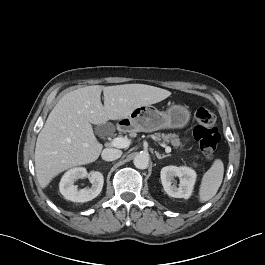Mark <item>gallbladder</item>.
<instances>
[{"mask_svg": "<svg viewBox=\"0 0 265 265\" xmlns=\"http://www.w3.org/2000/svg\"><path fill=\"white\" fill-rule=\"evenodd\" d=\"M110 127L108 124H102V125H99L97 128H96V133L98 135H102L104 134V132L106 131V129Z\"/></svg>", "mask_w": 265, "mask_h": 265, "instance_id": "1", "label": "gallbladder"}]
</instances>
